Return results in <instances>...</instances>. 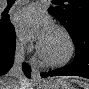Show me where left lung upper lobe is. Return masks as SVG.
I'll use <instances>...</instances> for the list:
<instances>
[{
  "mask_svg": "<svg viewBox=\"0 0 89 89\" xmlns=\"http://www.w3.org/2000/svg\"><path fill=\"white\" fill-rule=\"evenodd\" d=\"M49 13L55 16L69 34L81 24L89 25V0H54Z\"/></svg>",
  "mask_w": 89,
  "mask_h": 89,
  "instance_id": "1",
  "label": "left lung upper lobe"
}]
</instances>
